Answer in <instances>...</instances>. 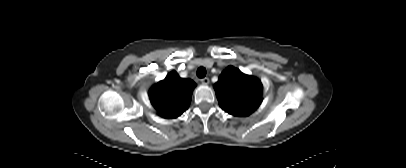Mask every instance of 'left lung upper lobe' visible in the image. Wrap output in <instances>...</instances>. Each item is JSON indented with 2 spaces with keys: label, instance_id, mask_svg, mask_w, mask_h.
<instances>
[{
  "label": "left lung upper lobe",
  "instance_id": "left-lung-upper-lobe-1",
  "mask_svg": "<svg viewBox=\"0 0 406 168\" xmlns=\"http://www.w3.org/2000/svg\"><path fill=\"white\" fill-rule=\"evenodd\" d=\"M220 107L234 116L244 117L261 104L263 86L259 79L228 66L214 85Z\"/></svg>",
  "mask_w": 406,
  "mask_h": 168
}]
</instances>
